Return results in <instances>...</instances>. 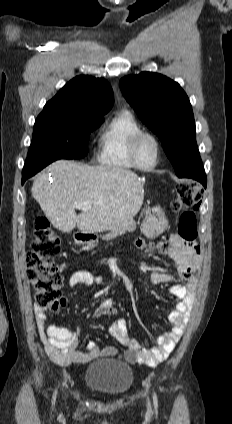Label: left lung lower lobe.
<instances>
[{
	"label": "left lung lower lobe",
	"mask_w": 232,
	"mask_h": 424,
	"mask_svg": "<svg viewBox=\"0 0 232 424\" xmlns=\"http://www.w3.org/2000/svg\"><path fill=\"white\" fill-rule=\"evenodd\" d=\"M182 177L192 178L200 182L206 188L207 178L202 163L186 172Z\"/></svg>",
	"instance_id": "0a47b994"
}]
</instances>
